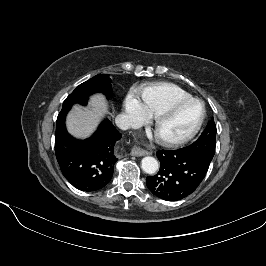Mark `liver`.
<instances>
[{"label":"liver","mask_w":266,"mask_h":266,"mask_svg":"<svg viewBox=\"0 0 266 266\" xmlns=\"http://www.w3.org/2000/svg\"><path fill=\"white\" fill-rule=\"evenodd\" d=\"M109 113L103 95L96 94L90 98L89 108L74 106L67 116L68 131L78 138L88 137L97 127L100 119Z\"/></svg>","instance_id":"liver-1"}]
</instances>
